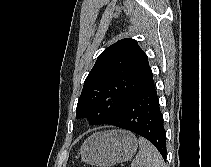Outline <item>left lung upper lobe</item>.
Masks as SVG:
<instances>
[{
  "label": "left lung upper lobe",
  "mask_w": 211,
  "mask_h": 167,
  "mask_svg": "<svg viewBox=\"0 0 211 167\" xmlns=\"http://www.w3.org/2000/svg\"><path fill=\"white\" fill-rule=\"evenodd\" d=\"M153 79L148 57L134 39L106 48L87 76L78 99L76 118L91 125L107 123L123 104Z\"/></svg>",
  "instance_id": "left-lung-upper-lobe-1"
}]
</instances>
